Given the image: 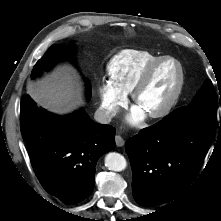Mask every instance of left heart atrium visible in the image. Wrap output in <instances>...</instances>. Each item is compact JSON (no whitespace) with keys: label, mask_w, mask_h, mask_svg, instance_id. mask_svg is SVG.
Returning <instances> with one entry per match:
<instances>
[{"label":"left heart atrium","mask_w":221,"mask_h":221,"mask_svg":"<svg viewBox=\"0 0 221 221\" xmlns=\"http://www.w3.org/2000/svg\"><path fill=\"white\" fill-rule=\"evenodd\" d=\"M146 116V112H144L140 107L135 106L130 115L128 116V120L132 124H137Z\"/></svg>","instance_id":"39dd6f15"}]
</instances>
